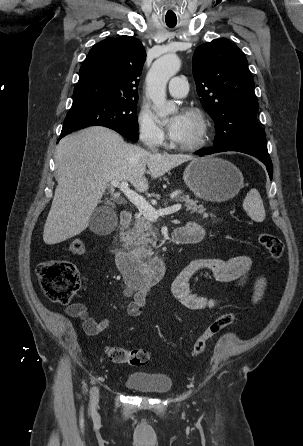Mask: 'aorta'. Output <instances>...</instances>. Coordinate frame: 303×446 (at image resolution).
<instances>
[{"label":"aorta","instance_id":"1","mask_svg":"<svg viewBox=\"0 0 303 446\" xmlns=\"http://www.w3.org/2000/svg\"><path fill=\"white\" fill-rule=\"evenodd\" d=\"M181 62L176 54H166L158 58L150 68L147 77V96L152 100L154 110L160 118L176 112L173 102L166 100V85L180 69Z\"/></svg>","mask_w":303,"mask_h":446}]
</instances>
